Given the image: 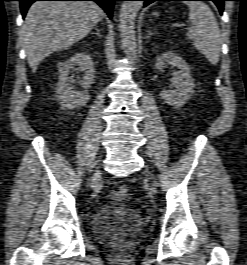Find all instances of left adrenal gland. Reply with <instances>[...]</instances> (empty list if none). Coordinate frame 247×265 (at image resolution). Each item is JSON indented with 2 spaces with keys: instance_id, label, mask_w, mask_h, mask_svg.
Listing matches in <instances>:
<instances>
[{
  "instance_id": "1",
  "label": "left adrenal gland",
  "mask_w": 247,
  "mask_h": 265,
  "mask_svg": "<svg viewBox=\"0 0 247 265\" xmlns=\"http://www.w3.org/2000/svg\"><path fill=\"white\" fill-rule=\"evenodd\" d=\"M157 32H152L151 28L148 29V35H147V39H149L152 35L156 34Z\"/></svg>"
}]
</instances>
